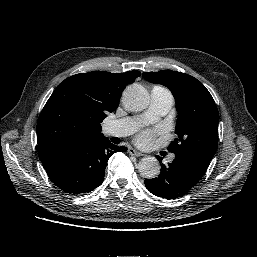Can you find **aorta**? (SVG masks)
<instances>
[{"label": "aorta", "instance_id": "762f6f07", "mask_svg": "<svg viewBox=\"0 0 257 257\" xmlns=\"http://www.w3.org/2000/svg\"><path fill=\"white\" fill-rule=\"evenodd\" d=\"M122 101L126 109L141 111L149 104V93L143 86L132 84L123 91ZM160 169L159 161L153 156H146L138 163V171L144 178L157 177Z\"/></svg>", "mask_w": 257, "mask_h": 257}]
</instances>
